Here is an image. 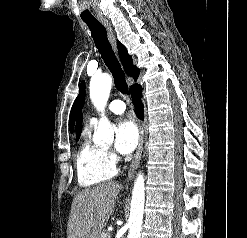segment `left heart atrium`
<instances>
[{"label":"left heart atrium","mask_w":247,"mask_h":238,"mask_svg":"<svg viewBox=\"0 0 247 238\" xmlns=\"http://www.w3.org/2000/svg\"><path fill=\"white\" fill-rule=\"evenodd\" d=\"M139 139L137 126L132 120L123 119L115 129V148L121 154H128L134 150Z\"/></svg>","instance_id":"39dd6f15"}]
</instances>
